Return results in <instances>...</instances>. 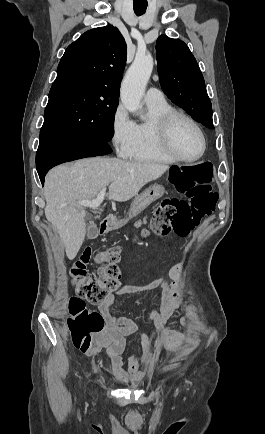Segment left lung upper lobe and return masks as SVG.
I'll return each instance as SVG.
<instances>
[{
    "label": "left lung upper lobe",
    "instance_id": "1",
    "mask_svg": "<svg viewBox=\"0 0 265 434\" xmlns=\"http://www.w3.org/2000/svg\"><path fill=\"white\" fill-rule=\"evenodd\" d=\"M156 58L160 85L168 98L194 120L214 129L204 78L188 46L161 35L156 43Z\"/></svg>",
    "mask_w": 265,
    "mask_h": 434
}]
</instances>
